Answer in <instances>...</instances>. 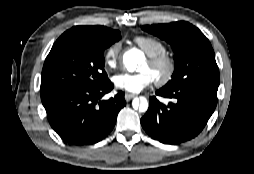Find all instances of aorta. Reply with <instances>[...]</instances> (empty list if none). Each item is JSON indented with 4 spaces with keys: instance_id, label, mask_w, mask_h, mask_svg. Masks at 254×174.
I'll return each instance as SVG.
<instances>
[{
    "instance_id": "aorta-1",
    "label": "aorta",
    "mask_w": 254,
    "mask_h": 174,
    "mask_svg": "<svg viewBox=\"0 0 254 174\" xmlns=\"http://www.w3.org/2000/svg\"><path fill=\"white\" fill-rule=\"evenodd\" d=\"M143 60V54L140 50L130 49L123 55V63L129 72L135 71L137 64ZM134 109L145 112L148 109V101L145 97L135 98L132 101Z\"/></svg>"
}]
</instances>
